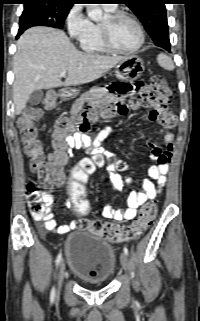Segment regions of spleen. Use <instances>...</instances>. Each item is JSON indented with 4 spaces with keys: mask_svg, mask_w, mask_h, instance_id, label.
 <instances>
[{
    "mask_svg": "<svg viewBox=\"0 0 200 321\" xmlns=\"http://www.w3.org/2000/svg\"><path fill=\"white\" fill-rule=\"evenodd\" d=\"M157 61L158 64L165 70L172 71L175 67L172 59L164 53H160L157 56Z\"/></svg>",
    "mask_w": 200,
    "mask_h": 321,
    "instance_id": "obj_1",
    "label": "spleen"
}]
</instances>
